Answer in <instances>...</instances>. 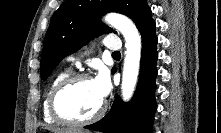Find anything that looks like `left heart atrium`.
Instances as JSON below:
<instances>
[{
    "label": "left heart atrium",
    "instance_id": "1",
    "mask_svg": "<svg viewBox=\"0 0 221 133\" xmlns=\"http://www.w3.org/2000/svg\"><path fill=\"white\" fill-rule=\"evenodd\" d=\"M92 81L99 97L101 99L106 98L111 89L109 76L106 70L101 69Z\"/></svg>",
    "mask_w": 221,
    "mask_h": 133
}]
</instances>
